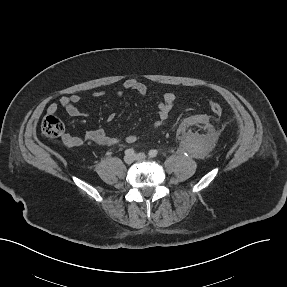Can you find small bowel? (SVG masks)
<instances>
[{
    "label": "small bowel",
    "instance_id": "small-bowel-1",
    "mask_svg": "<svg viewBox=\"0 0 287 287\" xmlns=\"http://www.w3.org/2000/svg\"><path fill=\"white\" fill-rule=\"evenodd\" d=\"M123 87L126 90L134 91L140 95H145L149 87L148 85L139 82L133 78H128L123 82ZM103 91H96L93 93L94 97H99L103 95ZM121 95V92H118ZM82 97L78 94H73L70 96H63L60 98L58 103H51L47 112L49 114H55L59 108L65 110L71 117L87 116V113L80 110L76 105L81 102ZM176 102V97L173 92H166L159 96V101L157 105V120L155 126H161L170 116ZM138 139L135 135H127L124 138H118L107 133L104 129H97L88 131L84 136H76L70 133L63 135V142L70 147H79L86 142H92L102 146L116 145L122 141L126 143H134Z\"/></svg>",
    "mask_w": 287,
    "mask_h": 287
}]
</instances>
